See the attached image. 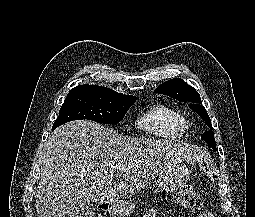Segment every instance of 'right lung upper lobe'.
Here are the masks:
<instances>
[{
  "label": "right lung upper lobe",
  "instance_id": "obj_1",
  "mask_svg": "<svg viewBox=\"0 0 255 217\" xmlns=\"http://www.w3.org/2000/svg\"><path fill=\"white\" fill-rule=\"evenodd\" d=\"M75 91H90V92L112 93V94L123 95L121 93H117L113 91L112 89L102 87V86H94V85H79L73 88L72 90H70V92H75ZM126 96H130V95H126ZM132 97H135V96H132Z\"/></svg>",
  "mask_w": 255,
  "mask_h": 217
}]
</instances>
